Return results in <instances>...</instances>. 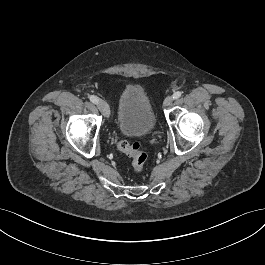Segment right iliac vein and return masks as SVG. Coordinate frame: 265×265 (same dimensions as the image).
Listing matches in <instances>:
<instances>
[{
  "label": "right iliac vein",
  "instance_id": "1",
  "mask_svg": "<svg viewBox=\"0 0 265 265\" xmlns=\"http://www.w3.org/2000/svg\"><path fill=\"white\" fill-rule=\"evenodd\" d=\"M98 108L105 115V117H109L110 115L109 105L104 100L98 101Z\"/></svg>",
  "mask_w": 265,
  "mask_h": 265
}]
</instances>
